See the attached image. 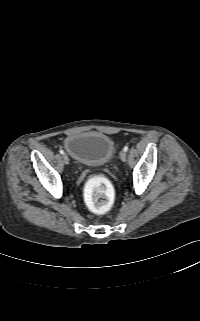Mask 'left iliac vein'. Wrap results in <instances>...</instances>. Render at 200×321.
<instances>
[{
  "label": "left iliac vein",
  "instance_id": "4c4485c4",
  "mask_svg": "<svg viewBox=\"0 0 200 321\" xmlns=\"http://www.w3.org/2000/svg\"><path fill=\"white\" fill-rule=\"evenodd\" d=\"M126 158H127L126 152H125L124 150H122V151L120 152V159H121L122 161H126Z\"/></svg>",
  "mask_w": 200,
  "mask_h": 321
}]
</instances>
